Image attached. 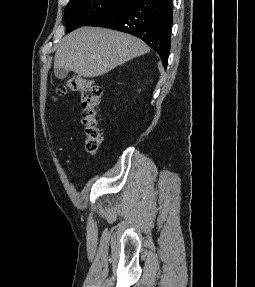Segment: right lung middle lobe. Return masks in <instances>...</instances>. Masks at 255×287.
I'll return each mask as SVG.
<instances>
[{"label": "right lung middle lobe", "mask_w": 255, "mask_h": 287, "mask_svg": "<svg viewBox=\"0 0 255 287\" xmlns=\"http://www.w3.org/2000/svg\"><path fill=\"white\" fill-rule=\"evenodd\" d=\"M127 0H70L65 8L67 33L88 26L106 12L125 3Z\"/></svg>", "instance_id": "obj_1"}]
</instances>
